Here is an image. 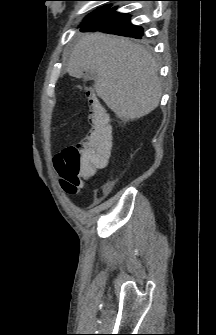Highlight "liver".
Wrapping results in <instances>:
<instances>
[{"label":"liver","mask_w":216,"mask_h":335,"mask_svg":"<svg viewBox=\"0 0 216 335\" xmlns=\"http://www.w3.org/2000/svg\"><path fill=\"white\" fill-rule=\"evenodd\" d=\"M158 70L154 57L141 45L100 32L80 37L66 68L76 78L83 72L95 74L96 94L123 120L139 119L159 105Z\"/></svg>","instance_id":"6515ba94"}]
</instances>
